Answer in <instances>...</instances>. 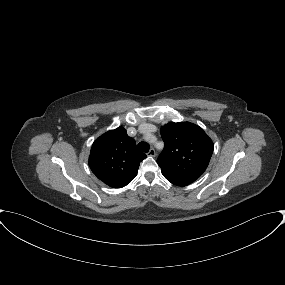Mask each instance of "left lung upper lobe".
I'll use <instances>...</instances> for the list:
<instances>
[{
    "mask_svg": "<svg viewBox=\"0 0 285 285\" xmlns=\"http://www.w3.org/2000/svg\"><path fill=\"white\" fill-rule=\"evenodd\" d=\"M165 148L157 159L163 173L199 178L213 153V142L190 122L168 123L161 128Z\"/></svg>",
    "mask_w": 285,
    "mask_h": 285,
    "instance_id": "left-lung-upper-lobe-1",
    "label": "left lung upper lobe"
}]
</instances>
